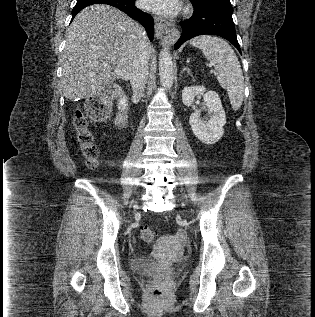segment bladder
I'll use <instances>...</instances> for the list:
<instances>
[{
	"mask_svg": "<svg viewBox=\"0 0 315 317\" xmlns=\"http://www.w3.org/2000/svg\"><path fill=\"white\" fill-rule=\"evenodd\" d=\"M131 267L135 272L140 274L149 275L160 270L157 261L152 259L135 258L131 262Z\"/></svg>",
	"mask_w": 315,
	"mask_h": 317,
	"instance_id": "obj_1",
	"label": "bladder"
}]
</instances>
